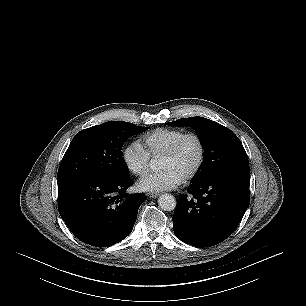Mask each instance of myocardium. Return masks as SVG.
<instances>
[{
  "label": "myocardium",
  "mask_w": 306,
  "mask_h": 306,
  "mask_svg": "<svg viewBox=\"0 0 306 306\" xmlns=\"http://www.w3.org/2000/svg\"><path fill=\"white\" fill-rule=\"evenodd\" d=\"M189 138L196 140L199 146V158L194 169L183 179L184 182H189L193 180L201 171L206 157V147L201 136L195 132H187L181 135L171 146L170 148L161 156L162 158H172L179 151L182 144Z\"/></svg>",
  "instance_id": "f54148a6"
}]
</instances>
